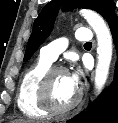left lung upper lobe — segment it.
<instances>
[{"instance_id": "5c2ea615", "label": "left lung upper lobe", "mask_w": 118, "mask_h": 123, "mask_svg": "<svg viewBox=\"0 0 118 123\" xmlns=\"http://www.w3.org/2000/svg\"><path fill=\"white\" fill-rule=\"evenodd\" d=\"M89 8L101 14L108 22L115 16V4L112 0H52L44 6L34 21L32 34L29 38L24 61L29 60L39 46L50 35L60 8Z\"/></svg>"}]
</instances>
